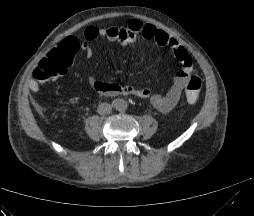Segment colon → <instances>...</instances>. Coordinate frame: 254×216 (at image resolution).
<instances>
[{
    "instance_id": "5ec220e1",
    "label": "colon",
    "mask_w": 254,
    "mask_h": 216,
    "mask_svg": "<svg viewBox=\"0 0 254 216\" xmlns=\"http://www.w3.org/2000/svg\"><path fill=\"white\" fill-rule=\"evenodd\" d=\"M71 53L65 49H53L39 62L34 70L36 80L44 85L54 83L58 76L65 73L70 67ZM202 80L192 75L185 85V96L188 103H195L201 92Z\"/></svg>"
}]
</instances>
